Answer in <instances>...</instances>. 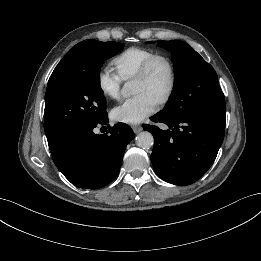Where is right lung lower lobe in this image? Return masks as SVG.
Wrapping results in <instances>:
<instances>
[{"instance_id":"98d812e1","label":"right lung lower lobe","mask_w":261,"mask_h":261,"mask_svg":"<svg viewBox=\"0 0 261 261\" xmlns=\"http://www.w3.org/2000/svg\"><path fill=\"white\" fill-rule=\"evenodd\" d=\"M108 118L98 124L75 130L56 144L49 146L53 161L63 175L75 186L98 189L118 175L127 144L134 138L130 126L118 123L104 135L95 134L97 125H106Z\"/></svg>"}]
</instances>
